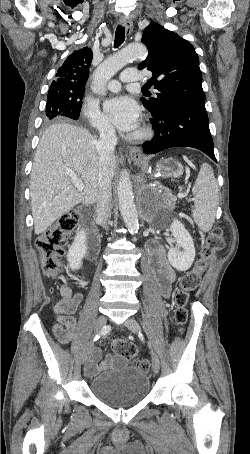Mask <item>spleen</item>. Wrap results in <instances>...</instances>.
Wrapping results in <instances>:
<instances>
[{
	"label": "spleen",
	"mask_w": 250,
	"mask_h": 454,
	"mask_svg": "<svg viewBox=\"0 0 250 454\" xmlns=\"http://www.w3.org/2000/svg\"><path fill=\"white\" fill-rule=\"evenodd\" d=\"M195 197L192 217L204 232L211 230L218 206V183L212 167L203 163L192 188Z\"/></svg>",
	"instance_id": "obj_1"
}]
</instances>
